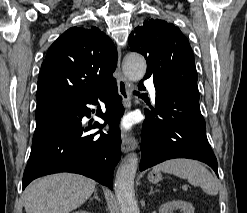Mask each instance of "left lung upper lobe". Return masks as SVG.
<instances>
[{
    "label": "left lung upper lobe",
    "instance_id": "1",
    "mask_svg": "<svg viewBox=\"0 0 247 213\" xmlns=\"http://www.w3.org/2000/svg\"><path fill=\"white\" fill-rule=\"evenodd\" d=\"M129 37L130 50L147 61L144 79L153 78L156 92L199 101L192 49L179 28L164 20L145 21Z\"/></svg>",
    "mask_w": 247,
    "mask_h": 213
}]
</instances>
